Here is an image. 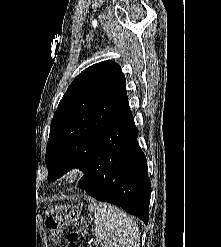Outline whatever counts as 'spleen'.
Returning <instances> with one entry per match:
<instances>
[{"label":"spleen","mask_w":221,"mask_h":247,"mask_svg":"<svg viewBox=\"0 0 221 247\" xmlns=\"http://www.w3.org/2000/svg\"><path fill=\"white\" fill-rule=\"evenodd\" d=\"M96 242L102 247H139V228L133 218L117 207L94 204Z\"/></svg>","instance_id":"3e777b00"}]
</instances>
